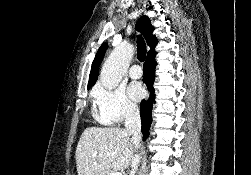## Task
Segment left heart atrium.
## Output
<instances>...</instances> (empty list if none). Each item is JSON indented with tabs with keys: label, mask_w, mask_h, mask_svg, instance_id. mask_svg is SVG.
I'll use <instances>...</instances> for the list:
<instances>
[{
	"label": "left heart atrium",
	"mask_w": 251,
	"mask_h": 175,
	"mask_svg": "<svg viewBox=\"0 0 251 175\" xmlns=\"http://www.w3.org/2000/svg\"><path fill=\"white\" fill-rule=\"evenodd\" d=\"M128 93L133 100H139L143 97L145 91L139 82L133 81L128 86Z\"/></svg>",
	"instance_id": "left-heart-atrium-1"
}]
</instances>
